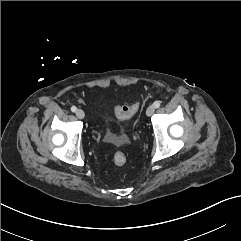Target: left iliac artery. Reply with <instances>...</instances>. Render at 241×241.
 <instances>
[{"mask_svg":"<svg viewBox=\"0 0 241 241\" xmlns=\"http://www.w3.org/2000/svg\"><path fill=\"white\" fill-rule=\"evenodd\" d=\"M154 107L159 108L160 107V101H155L154 102Z\"/></svg>","mask_w":241,"mask_h":241,"instance_id":"44dca946","label":"left iliac artery"}]
</instances>
